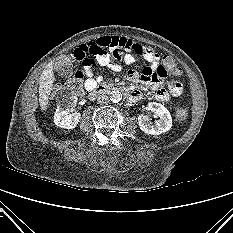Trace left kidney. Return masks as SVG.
Returning a JSON list of instances; mask_svg holds the SVG:
<instances>
[{
    "instance_id": "obj_1",
    "label": "left kidney",
    "mask_w": 233,
    "mask_h": 233,
    "mask_svg": "<svg viewBox=\"0 0 233 233\" xmlns=\"http://www.w3.org/2000/svg\"><path fill=\"white\" fill-rule=\"evenodd\" d=\"M148 107L160 119L153 123L148 116L141 114L138 116L140 129L148 135H159L169 131L172 127V117L168 109L156 102H150Z\"/></svg>"
}]
</instances>
